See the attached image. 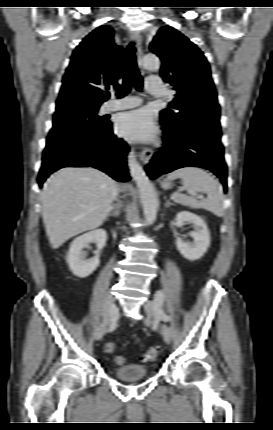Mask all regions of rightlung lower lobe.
<instances>
[{
	"label": "right lung lower lobe",
	"instance_id": "obj_1",
	"mask_svg": "<svg viewBox=\"0 0 273 430\" xmlns=\"http://www.w3.org/2000/svg\"><path fill=\"white\" fill-rule=\"evenodd\" d=\"M129 148L112 133V124L88 137L46 146L38 184L63 167H94L118 181H129L126 155Z\"/></svg>",
	"mask_w": 273,
	"mask_h": 430
}]
</instances>
